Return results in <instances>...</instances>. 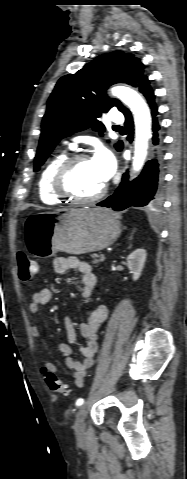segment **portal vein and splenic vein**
<instances>
[{
  "label": "portal vein and splenic vein",
  "mask_w": 187,
  "mask_h": 479,
  "mask_svg": "<svg viewBox=\"0 0 187 479\" xmlns=\"http://www.w3.org/2000/svg\"><path fill=\"white\" fill-rule=\"evenodd\" d=\"M100 256H101L103 259H105V255H104V254H101Z\"/></svg>",
  "instance_id": "1"
}]
</instances>
